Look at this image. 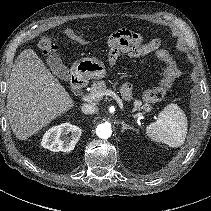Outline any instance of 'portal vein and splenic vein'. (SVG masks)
I'll return each mask as SVG.
<instances>
[{
	"label": "portal vein and splenic vein",
	"instance_id": "obj_1",
	"mask_svg": "<svg viewBox=\"0 0 211 211\" xmlns=\"http://www.w3.org/2000/svg\"><path fill=\"white\" fill-rule=\"evenodd\" d=\"M104 94L113 97L118 102L120 109L122 111L124 110V106H123V103H122L121 99L113 91L108 90ZM93 99H94V97H92V96H84V97H82V100H84V101H92ZM131 117L140 119L142 117V115L141 114H135V115H132Z\"/></svg>",
	"mask_w": 211,
	"mask_h": 211
}]
</instances>
